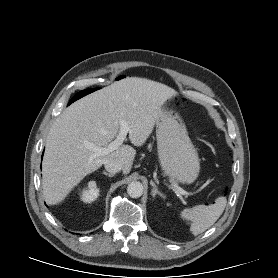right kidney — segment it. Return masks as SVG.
I'll return each instance as SVG.
<instances>
[{
	"mask_svg": "<svg viewBox=\"0 0 278 278\" xmlns=\"http://www.w3.org/2000/svg\"><path fill=\"white\" fill-rule=\"evenodd\" d=\"M100 189L97 187V184L95 181H90L88 183L87 188H84L80 192V199L84 203H91L97 199L99 196Z\"/></svg>",
	"mask_w": 278,
	"mask_h": 278,
	"instance_id": "right-kidney-1",
	"label": "right kidney"
}]
</instances>
